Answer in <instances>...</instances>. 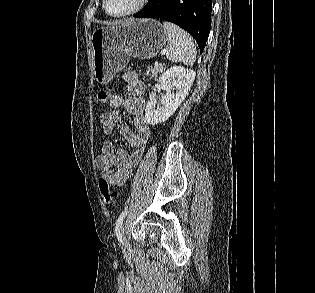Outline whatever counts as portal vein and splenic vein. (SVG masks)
I'll return each instance as SVG.
<instances>
[{
	"label": "portal vein and splenic vein",
	"mask_w": 315,
	"mask_h": 293,
	"mask_svg": "<svg viewBox=\"0 0 315 293\" xmlns=\"http://www.w3.org/2000/svg\"><path fill=\"white\" fill-rule=\"evenodd\" d=\"M159 64L158 63H155V66H158Z\"/></svg>",
	"instance_id": "portal-vein-and-splenic-vein-1"
}]
</instances>
